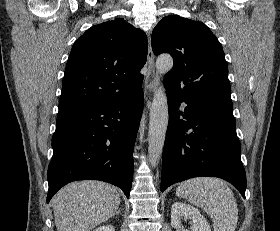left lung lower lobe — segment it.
I'll list each match as a JSON object with an SVG mask.
<instances>
[{
	"mask_svg": "<svg viewBox=\"0 0 280 231\" xmlns=\"http://www.w3.org/2000/svg\"><path fill=\"white\" fill-rule=\"evenodd\" d=\"M166 94L170 118L163 148L161 191L189 178L211 176L230 182L245 198L246 175L232 107L169 89ZM181 102L187 104L184 112L178 111ZM181 115L185 120L180 119Z\"/></svg>",
	"mask_w": 280,
	"mask_h": 231,
	"instance_id": "1",
	"label": "left lung lower lobe"
}]
</instances>
